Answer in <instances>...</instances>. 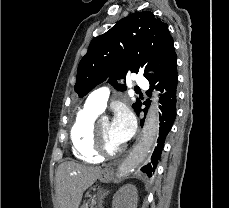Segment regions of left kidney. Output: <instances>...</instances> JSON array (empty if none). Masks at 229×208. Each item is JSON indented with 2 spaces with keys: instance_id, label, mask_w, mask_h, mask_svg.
<instances>
[{
  "instance_id": "1",
  "label": "left kidney",
  "mask_w": 229,
  "mask_h": 208,
  "mask_svg": "<svg viewBox=\"0 0 229 208\" xmlns=\"http://www.w3.org/2000/svg\"><path fill=\"white\" fill-rule=\"evenodd\" d=\"M137 190L132 184L122 186L113 196V208H137Z\"/></svg>"
}]
</instances>
